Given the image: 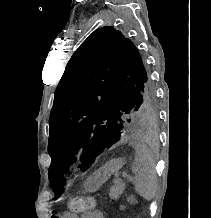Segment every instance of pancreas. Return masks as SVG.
<instances>
[{"label": "pancreas", "mask_w": 211, "mask_h": 218, "mask_svg": "<svg viewBox=\"0 0 211 218\" xmlns=\"http://www.w3.org/2000/svg\"><path fill=\"white\" fill-rule=\"evenodd\" d=\"M125 188H126L125 182H122V180H114V186L110 188V192H109V196L111 200H119V196L123 194Z\"/></svg>", "instance_id": "cf45deb5"}]
</instances>
